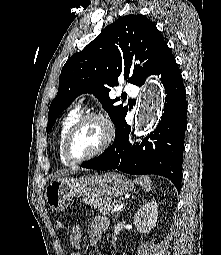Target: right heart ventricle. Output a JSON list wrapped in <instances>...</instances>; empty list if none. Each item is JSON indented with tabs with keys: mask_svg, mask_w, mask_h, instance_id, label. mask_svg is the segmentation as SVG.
<instances>
[{
	"mask_svg": "<svg viewBox=\"0 0 221 255\" xmlns=\"http://www.w3.org/2000/svg\"><path fill=\"white\" fill-rule=\"evenodd\" d=\"M81 116H82V109L80 106H76L63 117L59 125L58 134H57V150H58L59 159L64 166L72 165L66 160L63 153V145H64L66 135L68 131L70 130V128L73 126V124Z\"/></svg>",
	"mask_w": 221,
	"mask_h": 255,
	"instance_id": "1",
	"label": "right heart ventricle"
}]
</instances>
